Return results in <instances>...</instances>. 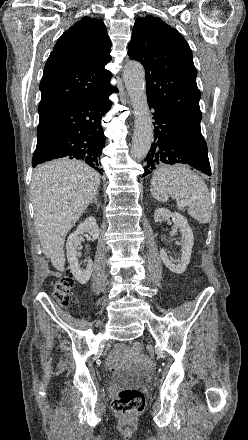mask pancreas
Wrapping results in <instances>:
<instances>
[{
    "instance_id": "obj_1",
    "label": "pancreas",
    "mask_w": 248,
    "mask_h": 440,
    "mask_svg": "<svg viewBox=\"0 0 248 440\" xmlns=\"http://www.w3.org/2000/svg\"><path fill=\"white\" fill-rule=\"evenodd\" d=\"M179 209H180L181 211H183V210H184V207H180V206H179Z\"/></svg>"
}]
</instances>
